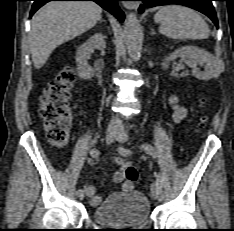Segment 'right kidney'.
<instances>
[{
  "label": "right kidney",
  "instance_id": "right-kidney-1",
  "mask_svg": "<svg viewBox=\"0 0 234 231\" xmlns=\"http://www.w3.org/2000/svg\"><path fill=\"white\" fill-rule=\"evenodd\" d=\"M105 49L106 42L101 33H97L90 37L83 45H81L76 53L78 76L84 80L91 79L94 76V69L87 63L88 53L91 49Z\"/></svg>",
  "mask_w": 234,
  "mask_h": 231
}]
</instances>
